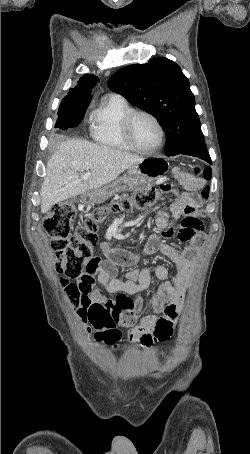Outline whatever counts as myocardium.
Returning <instances> with one entry per match:
<instances>
[{
	"label": "myocardium",
	"instance_id": "1",
	"mask_svg": "<svg viewBox=\"0 0 250 454\" xmlns=\"http://www.w3.org/2000/svg\"><path fill=\"white\" fill-rule=\"evenodd\" d=\"M139 116H145L151 119L159 132L158 142L150 149H143L139 147L133 138V124ZM122 132L126 143L131 147V149L142 154L155 153L162 147L165 140V131L161 122L153 113L146 110H133L128 113L122 121Z\"/></svg>",
	"mask_w": 250,
	"mask_h": 454
}]
</instances>
